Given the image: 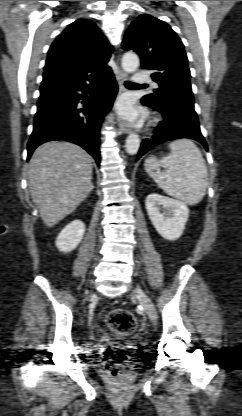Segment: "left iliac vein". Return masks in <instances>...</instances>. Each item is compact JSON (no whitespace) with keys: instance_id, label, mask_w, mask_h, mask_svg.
Returning a JSON list of instances; mask_svg holds the SVG:
<instances>
[{"instance_id":"4c4485c4","label":"left iliac vein","mask_w":242,"mask_h":416,"mask_svg":"<svg viewBox=\"0 0 242 416\" xmlns=\"http://www.w3.org/2000/svg\"><path fill=\"white\" fill-rule=\"evenodd\" d=\"M133 295L138 299L139 303L144 307L149 318L155 322L157 320V312L155 306L148 295L140 288L133 291Z\"/></svg>"}]
</instances>
